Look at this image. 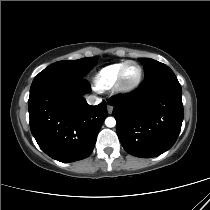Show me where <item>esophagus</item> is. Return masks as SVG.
I'll return each instance as SVG.
<instances>
[{"instance_id":"obj_1","label":"esophagus","mask_w":210,"mask_h":210,"mask_svg":"<svg viewBox=\"0 0 210 210\" xmlns=\"http://www.w3.org/2000/svg\"><path fill=\"white\" fill-rule=\"evenodd\" d=\"M107 110H108V113H109V114H112V112H113V106L110 105V104H108V105H107Z\"/></svg>"}]
</instances>
